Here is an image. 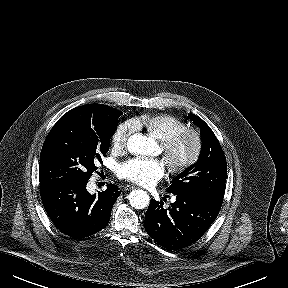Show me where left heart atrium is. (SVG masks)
I'll return each mask as SVG.
<instances>
[{"label":"left heart atrium","mask_w":288,"mask_h":288,"mask_svg":"<svg viewBox=\"0 0 288 288\" xmlns=\"http://www.w3.org/2000/svg\"><path fill=\"white\" fill-rule=\"evenodd\" d=\"M119 175L142 186H152L165 174L164 163L159 159H132L119 166Z\"/></svg>","instance_id":"left-heart-atrium-1"}]
</instances>
